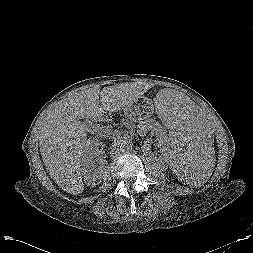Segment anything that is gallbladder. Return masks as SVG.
<instances>
[{"label": "gallbladder", "mask_w": 253, "mask_h": 253, "mask_svg": "<svg viewBox=\"0 0 253 253\" xmlns=\"http://www.w3.org/2000/svg\"><path fill=\"white\" fill-rule=\"evenodd\" d=\"M86 125H87L88 129L90 130V128H91V123H90V122H86Z\"/></svg>", "instance_id": "gallbladder-1"}]
</instances>
